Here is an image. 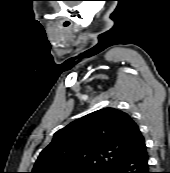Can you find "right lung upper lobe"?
Instances as JSON below:
<instances>
[{
	"instance_id": "obj_1",
	"label": "right lung upper lobe",
	"mask_w": 170,
	"mask_h": 173,
	"mask_svg": "<svg viewBox=\"0 0 170 173\" xmlns=\"http://www.w3.org/2000/svg\"><path fill=\"white\" fill-rule=\"evenodd\" d=\"M144 145L138 125L127 113L104 108L57 131L31 173L106 169Z\"/></svg>"
}]
</instances>
